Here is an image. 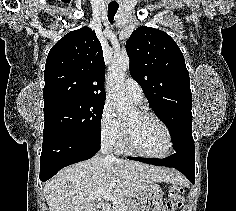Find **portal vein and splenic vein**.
<instances>
[{"label": "portal vein and splenic vein", "instance_id": "1", "mask_svg": "<svg viewBox=\"0 0 236 211\" xmlns=\"http://www.w3.org/2000/svg\"><path fill=\"white\" fill-rule=\"evenodd\" d=\"M101 198H103L105 200L112 201L113 204L118 205L120 211H126V206L122 203V200L116 195L102 192L99 195L92 196L90 199L91 200H100Z\"/></svg>", "mask_w": 236, "mask_h": 211}]
</instances>
